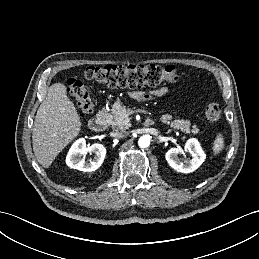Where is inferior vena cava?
I'll use <instances>...</instances> for the list:
<instances>
[{
    "instance_id": "inferior-vena-cava-1",
    "label": "inferior vena cava",
    "mask_w": 259,
    "mask_h": 259,
    "mask_svg": "<svg viewBox=\"0 0 259 259\" xmlns=\"http://www.w3.org/2000/svg\"><path fill=\"white\" fill-rule=\"evenodd\" d=\"M113 135L117 138H123V137H126L128 135V132L121 129V130H116Z\"/></svg>"
}]
</instances>
